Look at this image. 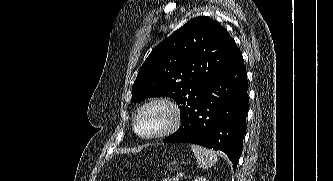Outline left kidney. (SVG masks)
Segmentation results:
<instances>
[{
	"label": "left kidney",
	"mask_w": 333,
	"mask_h": 181,
	"mask_svg": "<svg viewBox=\"0 0 333 181\" xmlns=\"http://www.w3.org/2000/svg\"><path fill=\"white\" fill-rule=\"evenodd\" d=\"M193 181H208L204 176H199L195 178Z\"/></svg>",
	"instance_id": "left-kidney-1"
}]
</instances>
